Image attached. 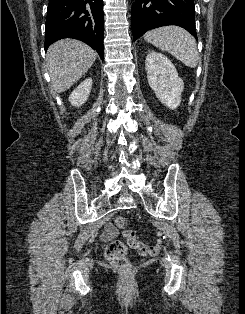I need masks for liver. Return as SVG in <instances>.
Wrapping results in <instances>:
<instances>
[{
	"instance_id": "1",
	"label": "liver",
	"mask_w": 245,
	"mask_h": 314,
	"mask_svg": "<svg viewBox=\"0 0 245 314\" xmlns=\"http://www.w3.org/2000/svg\"><path fill=\"white\" fill-rule=\"evenodd\" d=\"M96 57L94 49L75 39L53 43L46 54L52 90L62 93L69 89L88 71Z\"/></svg>"
}]
</instances>
